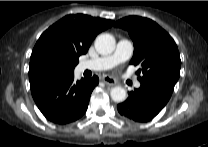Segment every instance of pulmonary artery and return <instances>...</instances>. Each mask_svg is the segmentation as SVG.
Here are the masks:
<instances>
[{
	"mask_svg": "<svg viewBox=\"0 0 208 147\" xmlns=\"http://www.w3.org/2000/svg\"><path fill=\"white\" fill-rule=\"evenodd\" d=\"M133 44L127 39H121L116 45L112 54L97 57L94 59L83 60L79 63V70L103 71L115 67L118 64L126 62L133 54ZM136 88L140 87V82H135Z\"/></svg>",
	"mask_w": 208,
	"mask_h": 147,
	"instance_id": "obj_1",
	"label": "pulmonary artery"
}]
</instances>
